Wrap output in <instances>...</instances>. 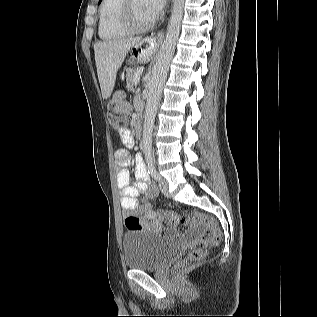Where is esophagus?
<instances>
[{
  "label": "esophagus",
  "mask_w": 317,
  "mask_h": 317,
  "mask_svg": "<svg viewBox=\"0 0 317 317\" xmlns=\"http://www.w3.org/2000/svg\"><path fill=\"white\" fill-rule=\"evenodd\" d=\"M163 38V33L162 32H158L157 34H151L149 36H147L145 38L146 41H155V40H158V41H161Z\"/></svg>",
  "instance_id": "obj_1"
}]
</instances>
